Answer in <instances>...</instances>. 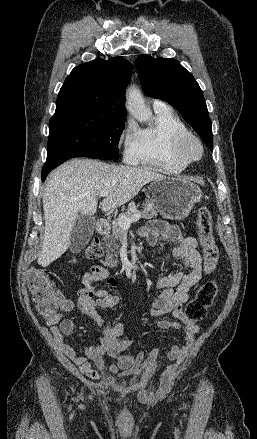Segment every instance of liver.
Masks as SVG:
<instances>
[{
	"label": "liver",
	"mask_w": 257,
	"mask_h": 439,
	"mask_svg": "<svg viewBox=\"0 0 257 439\" xmlns=\"http://www.w3.org/2000/svg\"><path fill=\"white\" fill-rule=\"evenodd\" d=\"M165 176L149 168L113 165L93 159L62 164L47 180L43 193L45 230L38 264L46 267L66 252L78 217L96 213L101 191H108L103 211L133 199L141 188Z\"/></svg>",
	"instance_id": "obj_1"
}]
</instances>
